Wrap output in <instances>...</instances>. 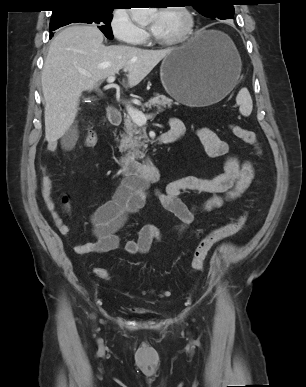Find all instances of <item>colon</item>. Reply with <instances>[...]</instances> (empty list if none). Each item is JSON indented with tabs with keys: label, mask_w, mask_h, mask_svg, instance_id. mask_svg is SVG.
<instances>
[{
	"label": "colon",
	"mask_w": 306,
	"mask_h": 387,
	"mask_svg": "<svg viewBox=\"0 0 306 387\" xmlns=\"http://www.w3.org/2000/svg\"><path fill=\"white\" fill-rule=\"evenodd\" d=\"M229 129L231 133L244 143L256 148L257 153H260L259 143L256 134L237 124H230ZM98 144V137L96 133H89L85 137V146L89 148L96 147ZM247 221V214H242L238 218L213 229L209 234L200 239L197 243L191 261V269L194 272H199L203 269L207 254L212 245L226 237L236 234L240 231ZM95 274L102 279H110L109 272L104 268H95Z\"/></svg>",
	"instance_id": "5ec220e1"
}]
</instances>
